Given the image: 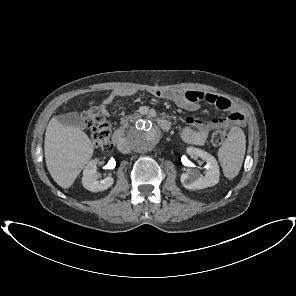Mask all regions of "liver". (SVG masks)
Here are the masks:
<instances>
[{"label": "liver", "mask_w": 296, "mask_h": 296, "mask_svg": "<svg viewBox=\"0 0 296 296\" xmlns=\"http://www.w3.org/2000/svg\"><path fill=\"white\" fill-rule=\"evenodd\" d=\"M94 145L81 129L62 125L52 117L45 132L48 171L62 188H69L93 156Z\"/></svg>", "instance_id": "6515ba94"}]
</instances>
